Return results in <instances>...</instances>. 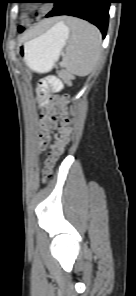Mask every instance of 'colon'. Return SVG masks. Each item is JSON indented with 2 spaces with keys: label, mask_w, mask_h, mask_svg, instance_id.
Listing matches in <instances>:
<instances>
[{
  "label": "colon",
  "mask_w": 136,
  "mask_h": 296,
  "mask_svg": "<svg viewBox=\"0 0 136 296\" xmlns=\"http://www.w3.org/2000/svg\"><path fill=\"white\" fill-rule=\"evenodd\" d=\"M52 79L48 80L51 81ZM71 122L69 96L62 94L52 97L50 104L45 109L42 128L38 134L39 147L47 151V158L43 169L45 175L51 173L54 164L63 152L68 141ZM58 124H60L58 133L53 138L51 130Z\"/></svg>",
  "instance_id": "obj_1"
}]
</instances>
